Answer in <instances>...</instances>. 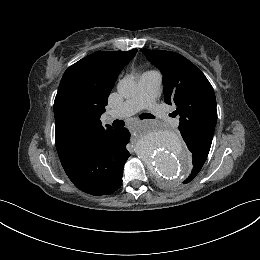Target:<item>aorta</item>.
Listing matches in <instances>:
<instances>
[{
	"label": "aorta",
	"mask_w": 260,
	"mask_h": 260,
	"mask_svg": "<svg viewBox=\"0 0 260 260\" xmlns=\"http://www.w3.org/2000/svg\"><path fill=\"white\" fill-rule=\"evenodd\" d=\"M117 90L125 98L134 96L138 83L133 78L119 81ZM137 150L155 176L164 180L185 177L190 170V157L179 136L162 124L144 122L137 132Z\"/></svg>",
	"instance_id": "aorta-1"
}]
</instances>
